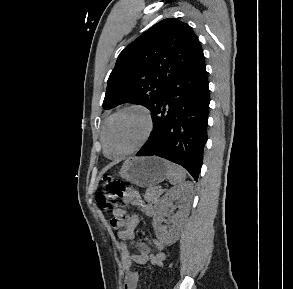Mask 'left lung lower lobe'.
<instances>
[{
  "label": "left lung lower lobe",
  "instance_id": "1",
  "mask_svg": "<svg viewBox=\"0 0 293 289\" xmlns=\"http://www.w3.org/2000/svg\"><path fill=\"white\" fill-rule=\"evenodd\" d=\"M209 89L203 51L156 101L153 131L136 156H159L183 166L197 181L207 141Z\"/></svg>",
  "mask_w": 293,
  "mask_h": 289
}]
</instances>
